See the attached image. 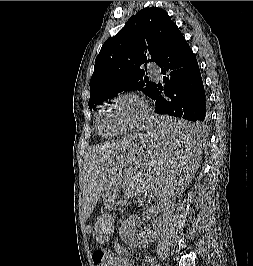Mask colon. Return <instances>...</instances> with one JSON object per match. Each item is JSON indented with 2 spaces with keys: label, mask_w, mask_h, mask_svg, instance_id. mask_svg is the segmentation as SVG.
Segmentation results:
<instances>
[{
  "label": "colon",
  "mask_w": 253,
  "mask_h": 266,
  "mask_svg": "<svg viewBox=\"0 0 253 266\" xmlns=\"http://www.w3.org/2000/svg\"><path fill=\"white\" fill-rule=\"evenodd\" d=\"M93 261L96 266H119L118 258L103 250L93 253Z\"/></svg>",
  "instance_id": "5ec220e1"
}]
</instances>
